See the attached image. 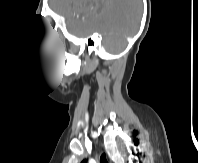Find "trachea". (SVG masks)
<instances>
[{"instance_id": "3493384b", "label": "trachea", "mask_w": 198, "mask_h": 163, "mask_svg": "<svg viewBox=\"0 0 198 163\" xmlns=\"http://www.w3.org/2000/svg\"><path fill=\"white\" fill-rule=\"evenodd\" d=\"M100 163H108L105 154H102V156L100 157Z\"/></svg>"}]
</instances>
